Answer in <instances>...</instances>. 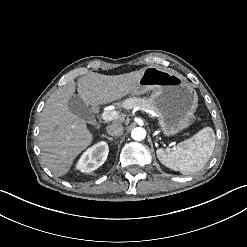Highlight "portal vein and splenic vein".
<instances>
[{"instance_id":"portal-vein-and-splenic-vein-1","label":"portal vein and splenic vein","mask_w":247,"mask_h":247,"mask_svg":"<svg viewBox=\"0 0 247 247\" xmlns=\"http://www.w3.org/2000/svg\"><path fill=\"white\" fill-rule=\"evenodd\" d=\"M120 116L121 113L116 110H109L103 113V118L109 121L119 119Z\"/></svg>"}]
</instances>
